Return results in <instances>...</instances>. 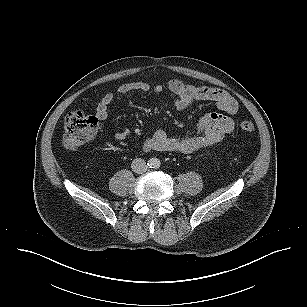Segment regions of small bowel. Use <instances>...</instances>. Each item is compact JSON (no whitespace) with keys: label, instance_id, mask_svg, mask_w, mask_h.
I'll list each match as a JSON object with an SVG mask.
<instances>
[{"label":"small bowel","instance_id":"obj_1","mask_svg":"<svg viewBox=\"0 0 307 307\" xmlns=\"http://www.w3.org/2000/svg\"><path fill=\"white\" fill-rule=\"evenodd\" d=\"M165 91L175 95L174 106L178 110H185L193 103L209 101L229 114L234 115L239 110L237 100L227 91L211 87H195L181 80H170L166 84L133 81L121 84L116 89L117 95H126L132 92L145 94H161ZM115 93L104 94L96 108V116L100 120L108 117L109 106L113 102ZM234 120L220 113L204 115L195 128L192 136L170 137L164 131H157L144 142L146 151H163L177 153H194L208 146L220 142L223 137L234 129ZM130 136V130L126 127L120 129L115 137L119 141H125Z\"/></svg>","mask_w":307,"mask_h":307}]
</instances>
